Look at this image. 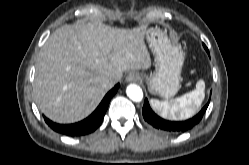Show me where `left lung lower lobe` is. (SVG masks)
Returning a JSON list of instances; mask_svg holds the SVG:
<instances>
[{"label":"left lung lower lobe","instance_id":"0a47b994","mask_svg":"<svg viewBox=\"0 0 249 165\" xmlns=\"http://www.w3.org/2000/svg\"><path fill=\"white\" fill-rule=\"evenodd\" d=\"M209 102L210 101H208V103L202 108V110L196 116L186 121H180V122L167 121L160 118L158 115H156L153 112L147 99H145L144 106L142 109V114L144 120L159 131L171 134L183 133L190 130L200 122L209 105Z\"/></svg>","mask_w":249,"mask_h":165}]
</instances>
